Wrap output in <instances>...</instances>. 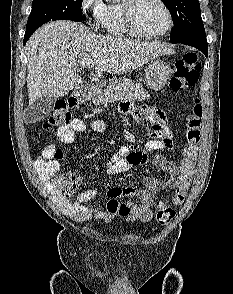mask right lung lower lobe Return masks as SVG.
I'll use <instances>...</instances> for the list:
<instances>
[{"label":"right lung lower lobe","instance_id":"1","mask_svg":"<svg viewBox=\"0 0 233 294\" xmlns=\"http://www.w3.org/2000/svg\"><path fill=\"white\" fill-rule=\"evenodd\" d=\"M31 35H32V33H28V32L25 33V36H24V44L26 43V41L29 39V37Z\"/></svg>","mask_w":233,"mask_h":294}]
</instances>
